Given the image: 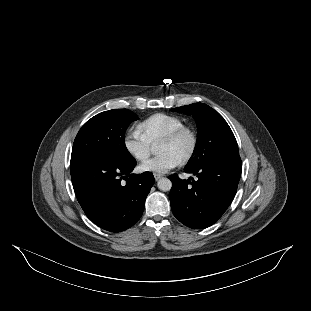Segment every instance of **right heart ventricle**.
Returning <instances> with one entry per match:
<instances>
[{"label":"right heart ventricle","instance_id":"e07e8e85","mask_svg":"<svg viewBox=\"0 0 311 311\" xmlns=\"http://www.w3.org/2000/svg\"><path fill=\"white\" fill-rule=\"evenodd\" d=\"M186 123L176 115L168 113H154L139 122V128L150 145H155L171 131Z\"/></svg>","mask_w":311,"mask_h":311}]
</instances>
